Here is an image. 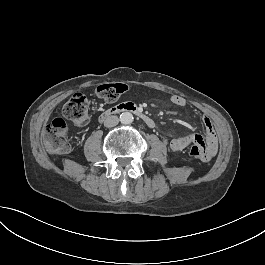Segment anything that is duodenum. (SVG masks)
<instances>
[{
  "label": "duodenum",
  "mask_w": 265,
  "mask_h": 265,
  "mask_svg": "<svg viewBox=\"0 0 265 265\" xmlns=\"http://www.w3.org/2000/svg\"><path fill=\"white\" fill-rule=\"evenodd\" d=\"M123 112H131L136 115L140 120H142L147 126L154 127L155 122L153 118L138 108L136 105L132 103H121L118 105H114L108 109H106L101 115L99 116V121H105L110 116L115 114L123 113Z\"/></svg>",
  "instance_id": "410a0bca"
}]
</instances>
